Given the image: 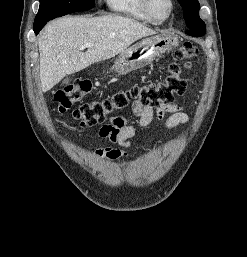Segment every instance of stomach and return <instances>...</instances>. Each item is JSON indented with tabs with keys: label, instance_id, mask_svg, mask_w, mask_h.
<instances>
[{
	"label": "stomach",
	"instance_id": "1",
	"mask_svg": "<svg viewBox=\"0 0 247 257\" xmlns=\"http://www.w3.org/2000/svg\"><path fill=\"white\" fill-rule=\"evenodd\" d=\"M177 45L178 39L172 34L145 38L121 52L116 58L112 70L120 75L135 71Z\"/></svg>",
	"mask_w": 247,
	"mask_h": 257
}]
</instances>
